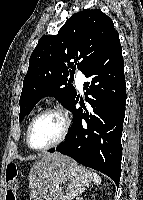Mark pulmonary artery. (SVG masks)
<instances>
[{
    "instance_id": "e3ab8cb5",
    "label": "pulmonary artery",
    "mask_w": 143,
    "mask_h": 200,
    "mask_svg": "<svg viewBox=\"0 0 143 200\" xmlns=\"http://www.w3.org/2000/svg\"><path fill=\"white\" fill-rule=\"evenodd\" d=\"M85 80L86 78L84 74L81 72H78L76 75L75 83L79 91H83V85H84Z\"/></svg>"
}]
</instances>
